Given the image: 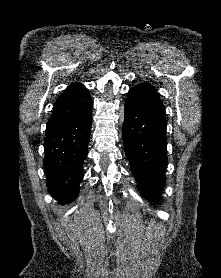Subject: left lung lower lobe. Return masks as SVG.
I'll list each match as a JSON object with an SVG mask.
<instances>
[{
    "label": "left lung lower lobe",
    "mask_w": 221,
    "mask_h": 278,
    "mask_svg": "<svg viewBox=\"0 0 221 278\" xmlns=\"http://www.w3.org/2000/svg\"><path fill=\"white\" fill-rule=\"evenodd\" d=\"M166 116L163 106L124 105L123 143L131 171L144 198L158 202L165 186Z\"/></svg>",
    "instance_id": "left-lung-lower-lobe-1"
}]
</instances>
